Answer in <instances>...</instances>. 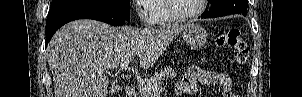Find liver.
I'll list each match as a JSON object with an SVG mask.
<instances>
[{
  "instance_id": "obj_1",
  "label": "liver",
  "mask_w": 302,
  "mask_h": 97,
  "mask_svg": "<svg viewBox=\"0 0 302 97\" xmlns=\"http://www.w3.org/2000/svg\"><path fill=\"white\" fill-rule=\"evenodd\" d=\"M185 26L112 27L94 20L64 25L47 47L55 97H105L107 69L135 56L141 68H150Z\"/></svg>"
}]
</instances>
